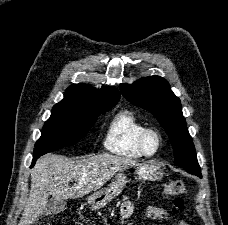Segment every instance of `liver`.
<instances>
[{"label":"liver","instance_id":"liver-1","mask_svg":"<svg viewBox=\"0 0 228 225\" xmlns=\"http://www.w3.org/2000/svg\"><path fill=\"white\" fill-rule=\"evenodd\" d=\"M138 163L115 157V155H96L81 161H69L62 155H43L31 169V191L28 203L18 225H34L43 215L49 195L53 199H80L97 191L112 179L117 171L136 167ZM75 179L73 187L70 181Z\"/></svg>","mask_w":228,"mask_h":225}]
</instances>
